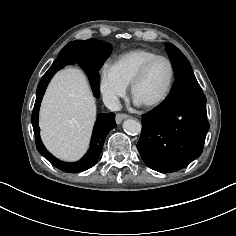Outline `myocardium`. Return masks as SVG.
<instances>
[{"mask_svg": "<svg viewBox=\"0 0 236 236\" xmlns=\"http://www.w3.org/2000/svg\"><path fill=\"white\" fill-rule=\"evenodd\" d=\"M158 60H164L168 63V65L170 67V79H169V83H168V86H167L165 92L163 93V95L160 98H158L157 100L151 101V102H147V103H139L142 107H144L146 109H154V108L159 107L162 104H164L167 101V99L169 98V96L173 90L174 83H175L176 73H175V67H174L173 62L166 56L157 55V56L149 59L148 61H146L142 65V67L139 69V71L137 72L135 77L133 78V80L130 84V91H131V95H132L133 99L136 101L135 92H136L138 85L141 83V81L145 77L149 68Z\"/></svg>", "mask_w": 236, "mask_h": 236, "instance_id": "myocardium-1", "label": "myocardium"}]
</instances>
